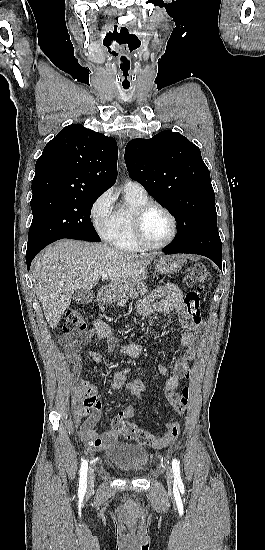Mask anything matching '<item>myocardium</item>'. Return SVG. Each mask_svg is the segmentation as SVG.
I'll return each mask as SVG.
<instances>
[{"instance_id":"myocardium-1","label":"myocardium","mask_w":265,"mask_h":550,"mask_svg":"<svg viewBox=\"0 0 265 550\" xmlns=\"http://www.w3.org/2000/svg\"><path fill=\"white\" fill-rule=\"evenodd\" d=\"M153 209L162 210L164 213L167 214V216L170 218V221H171L170 236L166 241L160 244L150 243L144 235V230H143L144 218L147 215V213ZM132 228H133L134 238L141 248L152 249V250L162 249L170 245L175 240L177 235V220L175 215L167 207H165L162 204L149 201L136 209L133 216Z\"/></svg>"}]
</instances>
